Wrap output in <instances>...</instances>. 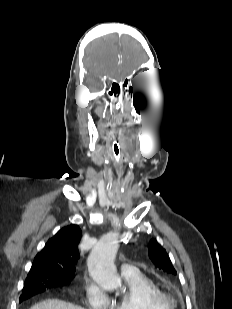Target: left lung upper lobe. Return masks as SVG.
<instances>
[{
	"label": "left lung upper lobe",
	"instance_id": "5c2ea615",
	"mask_svg": "<svg viewBox=\"0 0 232 309\" xmlns=\"http://www.w3.org/2000/svg\"><path fill=\"white\" fill-rule=\"evenodd\" d=\"M149 256L158 268L165 272L176 274L168 254L156 240L150 241Z\"/></svg>",
	"mask_w": 232,
	"mask_h": 309
}]
</instances>
